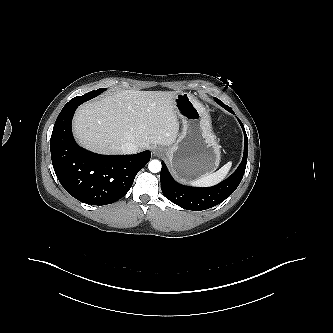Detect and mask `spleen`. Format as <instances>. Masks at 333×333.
Here are the masks:
<instances>
[{"label": "spleen", "instance_id": "3e777b00", "mask_svg": "<svg viewBox=\"0 0 333 333\" xmlns=\"http://www.w3.org/2000/svg\"><path fill=\"white\" fill-rule=\"evenodd\" d=\"M232 166V162H228L225 164L223 167H221L218 171L201 176L200 178H197L195 180L190 181L191 185L194 186H202V187H207V186H213L220 181H222L226 175L228 174L230 168Z\"/></svg>", "mask_w": 333, "mask_h": 333}]
</instances>
